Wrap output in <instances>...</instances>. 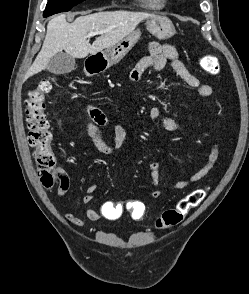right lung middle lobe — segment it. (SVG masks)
Listing matches in <instances>:
<instances>
[{
  "instance_id": "right-lung-middle-lobe-1",
  "label": "right lung middle lobe",
  "mask_w": 249,
  "mask_h": 294,
  "mask_svg": "<svg viewBox=\"0 0 249 294\" xmlns=\"http://www.w3.org/2000/svg\"><path fill=\"white\" fill-rule=\"evenodd\" d=\"M82 1L84 0H49L43 16L48 17L56 13L69 11L73 6Z\"/></svg>"
}]
</instances>
